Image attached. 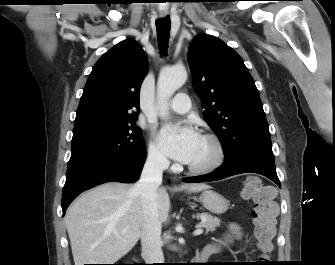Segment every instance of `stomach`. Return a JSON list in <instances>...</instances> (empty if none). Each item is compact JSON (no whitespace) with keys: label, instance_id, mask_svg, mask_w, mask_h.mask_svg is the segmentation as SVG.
<instances>
[{"label":"stomach","instance_id":"stomach-1","mask_svg":"<svg viewBox=\"0 0 335 265\" xmlns=\"http://www.w3.org/2000/svg\"><path fill=\"white\" fill-rule=\"evenodd\" d=\"M198 200L207 210L214 214H223L229 207V201L221 194L212 190L203 191Z\"/></svg>","mask_w":335,"mask_h":265}]
</instances>
